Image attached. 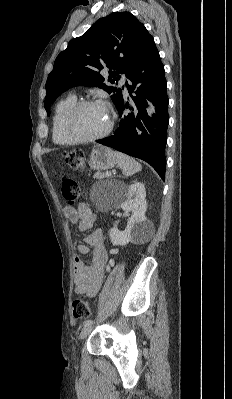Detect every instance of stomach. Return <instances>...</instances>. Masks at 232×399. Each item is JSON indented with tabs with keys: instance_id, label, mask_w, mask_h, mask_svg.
<instances>
[{
	"instance_id": "obj_1",
	"label": "stomach",
	"mask_w": 232,
	"mask_h": 399,
	"mask_svg": "<svg viewBox=\"0 0 232 399\" xmlns=\"http://www.w3.org/2000/svg\"><path fill=\"white\" fill-rule=\"evenodd\" d=\"M116 164V154L105 146H94L91 150L89 166L91 170H111Z\"/></svg>"
}]
</instances>
